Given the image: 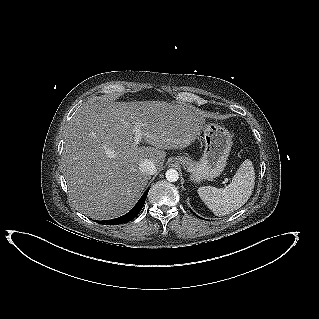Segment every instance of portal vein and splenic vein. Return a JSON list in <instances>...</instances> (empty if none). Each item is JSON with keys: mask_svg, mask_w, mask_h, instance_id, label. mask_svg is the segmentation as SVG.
<instances>
[{"mask_svg": "<svg viewBox=\"0 0 319 319\" xmlns=\"http://www.w3.org/2000/svg\"><path fill=\"white\" fill-rule=\"evenodd\" d=\"M142 135L143 133L140 129V125L136 124L134 126V142H133L134 145H138L140 143Z\"/></svg>", "mask_w": 319, "mask_h": 319, "instance_id": "obj_1", "label": "portal vein and splenic vein"}]
</instances>
